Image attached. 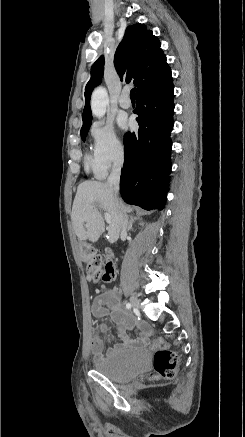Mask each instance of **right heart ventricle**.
Here are the masks:
<instances>
[{"instance_id": "obj_1", "label": "right heart ventricle", "mask_w": 245, "mask_h": 437, "mask_svg": "<svg viewBox=\"0 0 245 437\" xmlns=\"http://www.w3.org/2000/svg\"><path fill=\"white\" fill-rule=\"evenodd\" d=\"M85 166L87 169H93V164H92V160L91 157L87 156L85 159Z\"/></svg>"}]
</instances>
